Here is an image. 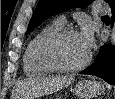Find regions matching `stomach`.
<instances>
[{
    "label": "stomach",
    "mask_w": 115,
    "mask_h": 99,
    "mask_svg": "<svg viewBox=\"0 0 115 99\" xmlns=\"http://www.w3.org/2000/svg\"><path fill=\"white\" fill-rule=\"evenodd\" d=\"M73 91L80 99H91L104 92V85L94 80L79 81Z\"/></svg>",
    "instance_id": "1"
}]
</instances>
